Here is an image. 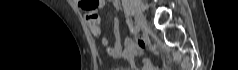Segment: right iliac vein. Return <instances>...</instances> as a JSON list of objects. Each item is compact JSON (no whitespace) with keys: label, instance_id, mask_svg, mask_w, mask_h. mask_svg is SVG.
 <instances>
[{"label":"right iliac vein","instance_id":"obj_1","mask_svg":"<svg viewBox=\"0 0 238 70\" xmlns=\"http://www.w3.org/2000/svg\"><path fill=\"white\" fill-rule=\"evenodd\" d=\"M137 26L142 30L145 31L147 29V21L142 14H137L136 17Z\"/></svg>","mask_w":238,"mask_h":70}]
</instances>
